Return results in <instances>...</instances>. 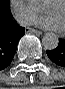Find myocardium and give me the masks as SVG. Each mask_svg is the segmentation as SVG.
I'll list each match as a JSON object with an SVG mask.
<instances>
[{"label": "myocardium", "mask_w": 65, "mask_h": 89, "mask_svg": "<svg viewBox=\"0 0 65 89\" xmlns=\"http://www.w3.org/2000/svg\"><path fill=\"white\" fill-rule=\"evenodd\" d=\"M48 3H59V4H63L64 7H65V1H63V0H52V1L48 2Z\"/></svg>", "instance_id": "1"}]
</instances>
